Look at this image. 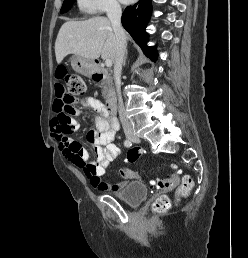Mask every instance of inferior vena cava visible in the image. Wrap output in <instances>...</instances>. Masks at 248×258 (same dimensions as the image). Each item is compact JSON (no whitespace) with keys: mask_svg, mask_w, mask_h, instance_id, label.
I'll list each match as a JSON object with an SVG mask.
<instances>
[{"mask_svg":"<svg viewBox=\"0 0 248 258\" xmlns=\"http://www.w3.org/2000/svg\"><path fill=\"white\" fill-rule=\"evenodd\" d=\"M121 7L115 0L111 1L108 5L107 16L111 22L112 28L116 35V50H115V60H114V80L116 91L118 95V111L120 121L125 134H132L134 129L129 122L127 115L125 113V108L121 96L120 85H121V71L122 64L124 60V55L126 52V35L121 25Z\"/></svg>","mask_w":248,"mask_h":258,"instance_id":"602c4592","label":"inferior vena cava"}]
</instances>
